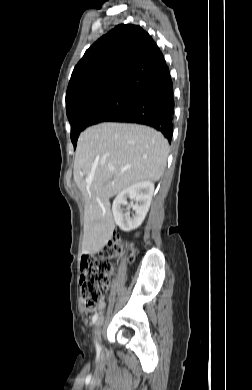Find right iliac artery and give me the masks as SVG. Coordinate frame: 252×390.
I'll list each match as a JSON object with an SVG mask.
<instances>
[{"label": "right iliac artery", "mask_w": 252, "mask_h": 390, "mask_svg": "<svg viewBox=\"0 0 252 390\" xmlns=\"http://www.w3.org/2000/svg\"><path fill=\"white\" fill-rule=\"evenodd\" d=\"M97 319H98V314L96 313V314L93 316V318H92L93 324L97 321ZM96 348H97L98 351L100 350V346H99V344H98L97 342H96Z\"/></svg>", "instance_id": "82829eb1"}]
</instances>
